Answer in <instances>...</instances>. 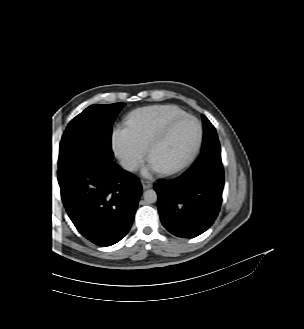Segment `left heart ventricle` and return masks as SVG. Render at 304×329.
<instances>
[{
    "label": "left heart ventricle",
    "mask_w": 304,
    "mask_h": 329,
    "mask_svg": "<svg viewBox=\"0 0 304 329\" xmlns=\"http://www.w3.org/2000/svg\"><path fill=\"white\" fill-rule=\"evenodd\" d=\"M198 138V125L184 119L174 126L167 139L150 155V165L155 169L169 167L183 161L192 151Z\"/></svg>",
    "instance_id": "left-heart-ventricle-1"
}]
</instances>
